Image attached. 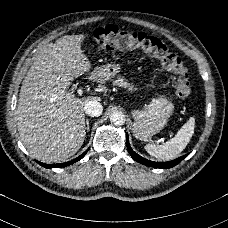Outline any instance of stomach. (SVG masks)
Here are the masks:
<instances>
[{"label":"stomach","mask_w":228,"mask_h":228,"mask_svg":"<svg viewBox=\"0 0 228 228\" xmlns=\"http://www.w3.org/2000/svg\"><path fill=\"white\" fill-rule=\"evenodd\" d=\"M121 69L119 63L97 67L94 69V79L113 80L118 77ZM174 112V103L166 94L152 98L143 108L131 110L130 114L134 118V135L141 140L150 139L164 129Z\"/></svg>","instance_id":"0dacf381"}]
</instances>
